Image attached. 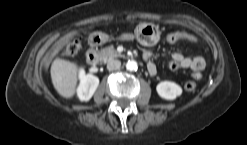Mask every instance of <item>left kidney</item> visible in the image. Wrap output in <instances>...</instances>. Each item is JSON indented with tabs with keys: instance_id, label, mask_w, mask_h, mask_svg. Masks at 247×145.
I'll return each instance as SVG.
<instances>
[{
	"instance_id": "1",
	"label": "left kidney",
	"mask_w": 247,
	"mask_h": 145,
	"mask_svg": "<svg viewBox=\"0 0 247 145\" xmlns=\"http://www.w3.org/2000/svg\"><path fill=\"white\" fill-rule=\"evenodd\" d=\"M158 95L166 100H174L182 94V88L171 81H162L156 87Z\"/></svg>"
}]
</instances>
